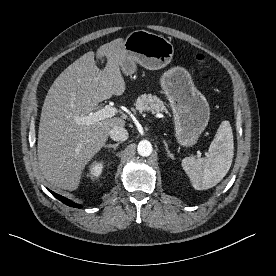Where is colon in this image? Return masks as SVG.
I'll return each instance as SVG.
<instances>
[{"mask_svg": "<svg viewBox=\"0 0 276 276\" xmlns=\"http://www.w3.org/2000/svg\"><path fill=\"white\" fill-rule=\"evenodd\" d=\"M197 60L203 61L204 60V56L201 55V54L197 55Z\"/></svg>", "mask_w": 276, "mask_h": 276, "instance_id": "obj_1", "label": "colon"}]
</instances>
